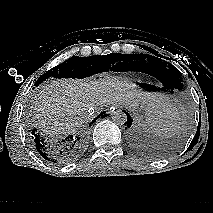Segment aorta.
Instances as JSON below:
<instances>
[{
    "label": "aorta",
    "mask_w": 213,
    "mask_h": 213,
    "mask_svg": "<svg viewBox=\"0 0 213 213\" xmlns=\"http://www.w3.org/2000/svg\"><path fill=\"white\" fill-rule=\"evenodd\" d=\"M111 118H112V121L114 123H116L117 125L122 126L127 122V116L121 110H117V111L113 112Z\"/></svg>",
    "instance_id": "obj_1"
}]
</instances>
